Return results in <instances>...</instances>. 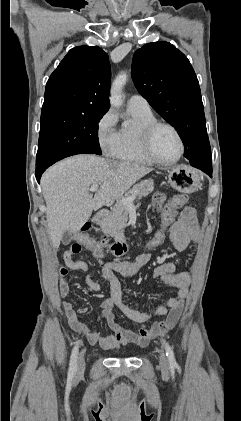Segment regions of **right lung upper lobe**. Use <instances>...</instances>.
<instances>
[{
    "label": "right lung upper lobe",
    "instance_id": "1",
    "mask_svg": "<svg viewBox=\"0 0 241 421\" xmlns=\"http://www.w3.org/2000/svg\"><path fill=\"white\" fill-rule=\"evenodd\" d=\"M111 68L98 46L71 49L49 77L42 112L106 113L109 109Z\"/></svg>",
    "mask_w": 241,
    "mask_h": 421
}]
</instances>
